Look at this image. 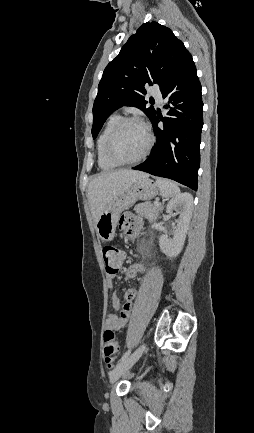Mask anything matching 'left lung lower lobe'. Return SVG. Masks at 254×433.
I'll use <instances>...</instances> for the list:
<instances>
[{
  "mask_svg": "<svg viewBox=\"0 0 254 433\" xmlns=\"http://www.w3.org/2000/svg\"><path fill=\"white\" fill-rule=\"evenodd\" d=\"M161 93L168 100L164 105L168 109L167 117L160 118L164 128L158 127L159 117L155 112L151 122L156 145L151 156L133 169L170 178L196 191L203 103L201 84L189 52L182 56Z\"/></svg>",
  "mask_w": 254,
  "mask_h": 433,
  "instance_id": "0a47b994",
  "label": "left lung lower lobe"
}]
</instances>
